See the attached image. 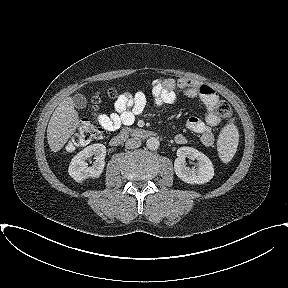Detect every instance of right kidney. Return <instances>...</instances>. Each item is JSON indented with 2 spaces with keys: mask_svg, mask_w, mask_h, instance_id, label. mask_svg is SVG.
Returning <instances> with one entry per match:
<instances>
[{
  "mask_svg": "<svg viewBox=\"0 0 288 288\" xmlns=\"http://www.w3.org/2000/svg\"><path fill=\"white\" fill-rule=\"evenodd\" d=\"M94 156V163L88 166L87 159ZM106 147L103 144H92L75 155L69 165V175L76 181L82 182L86 178H98L105 166Z\"/></svg>",
  "mask_w": 288,
  "mask_h": 288,
  "instance_id": "obj_1",
  "label": "right kidney"
}]
</instances>
